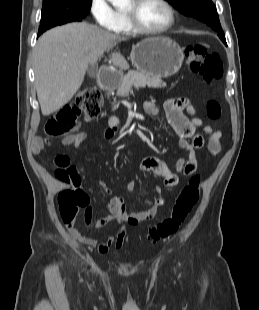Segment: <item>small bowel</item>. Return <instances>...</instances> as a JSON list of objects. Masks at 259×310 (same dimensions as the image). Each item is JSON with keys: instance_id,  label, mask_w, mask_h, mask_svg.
Here are the masks:
<instances>
[{"instance_id": "1", "label": "small bowel", "mask_w": 259, "mask_h": 310, "mask_svg": "<svg viewBox=\"0 0 259 310\" xmlns=\"http://www.w3.org/2000/svg\"><path fill=\"white\" fill-rule=\"evenodd\" d=\"M163 109L169 124L179 136V147L187 152V158H179L177 160V173L172 172L164 161L154 157L142 159L138 165V170L143 173L150 172L160 176L163 178L164 186L171 190L178 184L180 175L189 176L197 170L198 158L196 150L201 149L205 145V139L198 132V129L203 127L204 131L210 135L207 146L212 155H217L220 152L222 134L210 125H205L201 118L195 116V108L187 99H169L164 103ZM144 111L152 116H158L160 108L156 103L147 101L144 104ZM88 138L89 135L87 133H78L63 138L61 144L63 146L80 147ZM43 148L44 143L40 138L32 140L31 150L34 154H39ZM99 186L105 193H110V188L105 181H100ZM164 203L165 198L162 195H158L151 203L150 208L139 212H128L123 197L119 195L112 196L108 202V215L98 218L94 222V227L104 228L113 221H117L119 226L115 235H110L101 242L95 238L82 236L74 224L67 226V229L85 245L96 247L100 254H106L113 246L121 248L124 245L126 225H138L154 218L158 213L159 207L164 205ZM84 219L86 225L90 226L92 223L91 208H88L85 212Z\"/></svg>"}]
</instances>
